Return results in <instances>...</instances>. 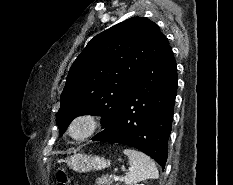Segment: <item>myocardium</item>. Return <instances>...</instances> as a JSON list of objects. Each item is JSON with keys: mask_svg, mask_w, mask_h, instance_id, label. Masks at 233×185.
<instances>
[{"mask_svg": "<svg viewBox=\"0 0 233 185\" xmlns=\"http://www.w3.org/2000/svg\"><path fill=\"white\" fill-rule=\"evenodd\" d=\"M79 122H85L88 128L84 134L80 136H74L73 128ZM100 126H101V119L97 114L92 113V112H82V113L75 115L70 120L68 127H67V134L72 140L76 142H82V141H85L91 138L93 135H95L96 132L99 130Z\"/></svg>", "mask_w": 233, "mask_h": 185, "instance_id": "myocardium-1", "label": "myocardium"}]
</instances>
